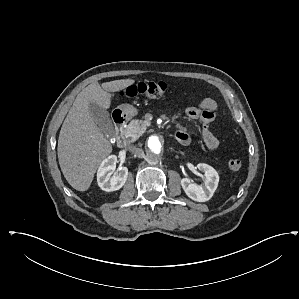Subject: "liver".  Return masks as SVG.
<instances>
[{
  "label": "liver",
  "mask_w": 299,
  "mask_h": 299,
  "mask_svg": "<svg viewBox=\"0 0 299 299\" xmlns=\"http://www.w3.org/2000/svg\"><path fill=\"white\" fill-rule=\"evenodd\" d=\"M134 83L133 79L101 85L94 82L76 97L61 127L57 147L61 171L74 189L88 190L100 163L112 152L110 141L93 118L90 104L106 110L111 105L110 92L124 90Z\"/></svg>",
  "instance_id": "liver-1"
}]
</instances>
